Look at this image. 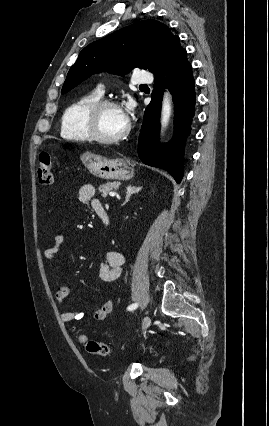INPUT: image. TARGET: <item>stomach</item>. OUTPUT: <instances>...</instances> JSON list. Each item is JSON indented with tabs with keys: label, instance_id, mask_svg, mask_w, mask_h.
<instances>
[{
	"label": "stomach",
	"instance_id": "stomach-1",
	"mask_svg": "<svg viewBox=\"0 0 269 426\" xmlns=\"http://www.w3.org/2000/svg\"><path fill=\"white\" fill-rule=\"evenodd\" d=\"M86 168L96 177L111 180H129L134 170L123 158L106 159L102 156L86 152L81 156Z\"/></svg>",
	"mask_w": 269,
	"mask_h": 426
}]
</instances>
